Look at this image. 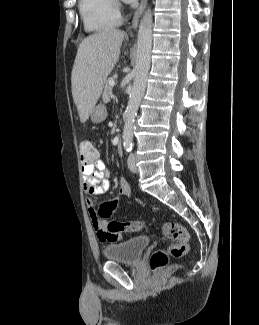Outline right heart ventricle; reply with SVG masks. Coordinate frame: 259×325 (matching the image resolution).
<instances>
[{
    "mask_svg": "<svg viewBox=\"0 0 259 325\" xmlns=\"http://www.w3.org/2000/svg\"><path fill=\"white\" fill-rule=\"evenodd\" d=\"M79 12L88 32H101L121 22L115 0H79Z\"/></svg>",
    "mask_w": 259,
    "mask_h": 325,
    "instance_id": "obj_1",
    "label": "right heart ventricle"
}]
</instances>
